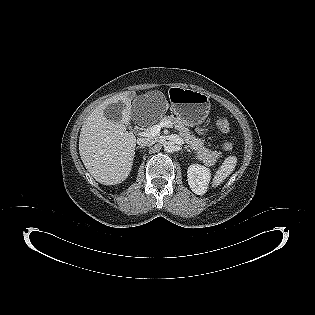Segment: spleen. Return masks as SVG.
Here are the masks:
<instances>
[{
    "label": "spleen",
    "mask_w": 315,
    "mask_h": 315,
    "mask_svg": "<svg viewBox=\"0 0 315 315\" xmlns=\"http://www.w3.org/2000/svg\"><path fill=\"white\" fill-rule=\"evenodd\" d=\"M236 164V156L227 157L216 171L213 178L212 186L217 187L218 185H220L234 171Z\"/></svg>",
    "instance_id": "spleen-1"
}]
</instances>
